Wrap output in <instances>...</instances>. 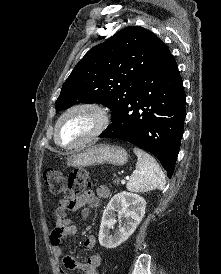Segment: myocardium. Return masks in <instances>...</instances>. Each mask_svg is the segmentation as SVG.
<instances>
[{
    "mask_svg": "<svg viewBox=\"0 0 221 274\" xmlns=\"http://www.w3.org/2000/svg\"><path fill=\"white\" fill-rule=\"evenodd\" d=\"M75 112H87L91 114L95 120V125L88 135H86L82 140L74 144H63L59 140V129L60 125L65 118ZM110 123V115L108 109L96 102H80L68 107L63 113L59 116L56 121L54 129V140L57 145L65 149H76L82 147L98 136H100Z\"/></svg>",
    "mask_w": 221,
    "mask_h": 274,
    "instance_id": "myocardium-1",
    "label": "myocardium"
}]
</instances>
